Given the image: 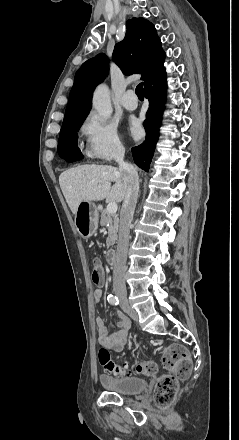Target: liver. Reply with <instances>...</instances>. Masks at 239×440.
<instances>
[{"label": "liver", "instance_id": "6515ba94", "mask_svg": "<svg viewBox=\"0 0 239 440\" xmlns=\"http://www.w3.org/2000/svg\"><path fill=\"white\" fill-rule=\"evenodd\" d=\"M122 172L113 166H78L62 172L59 176L60 188L72 212L76 214L80 202H122L126 190ZM111 182H115L111 188Z\"/></svg>", "mask_w": 239, "mask_h": 440}]
</instances>
